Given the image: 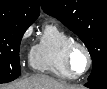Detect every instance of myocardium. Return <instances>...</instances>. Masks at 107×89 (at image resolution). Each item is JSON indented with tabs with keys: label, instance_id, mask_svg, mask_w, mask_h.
Masks as SVG:
<instances>
[{
	"label": "myocardium",
	"instance_id": "1",
	"mask_svg": "<svg viewBox=\"0 0 107 89\" xmlns=\"http://www.w3.org/2000/svg\"><path fill=\"white\" fill-rule=\"evenodd\" d=\"M76 48L81 49L84 52L87 59L86 68L82 73H75L71 67V55ZM63 60L65 68L74 78L83 76L90 70L92 66V56L88 47L84 43L74 39L66 44L63 52Z\"/></svg>",
	"mask_w": 107,
	"mask_h": 89
}]
</instances>
